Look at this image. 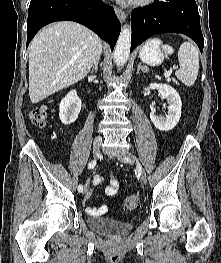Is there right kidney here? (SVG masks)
I'll list each match as a JSON object with an SVG mask.
<instances>
[{
    "label": "right kidney",
    "mask_w": 221,
    "mask_h": 263,
    "mask_svg": "<svg viewBox=\"0 0 221 263\" xmlns=\"http://www.w3.org/2000/svg\"><path fill=\"white\" fill-rule=\"evenodd\" d=\"M81 99L76 90L70 91L59 104V117L64 125H70L76 121L81 110Z\"/></svg>",
    "instance_id": "1"
}]
</instances>
